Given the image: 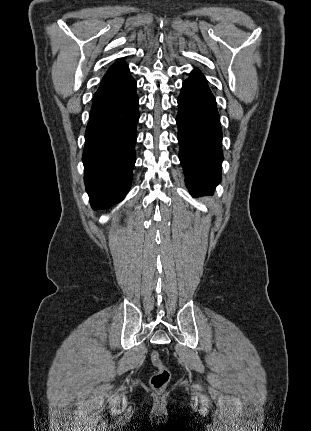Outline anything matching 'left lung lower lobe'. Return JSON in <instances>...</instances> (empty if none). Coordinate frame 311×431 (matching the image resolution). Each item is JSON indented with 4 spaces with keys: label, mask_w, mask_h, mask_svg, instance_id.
I'll return each mask as SVG.
<instances>
[{
    "label": "left lung lower lobe",
    "mask_w": 311,
    "mask_h": 431,
    "mask_svg": "<svg viewBox=\"0 0 311 431\" xmlns=\"http://www.w3.org/2000/svg\"><path fill=\"white\" fill-rule=\"evenodd\" d=\"M179 158L190 192L212 194L221 181L222 131L216 101L198 69L183 82L178 98Z\"/></svg>",
    "instance_id": "1"
}]
</instances>
